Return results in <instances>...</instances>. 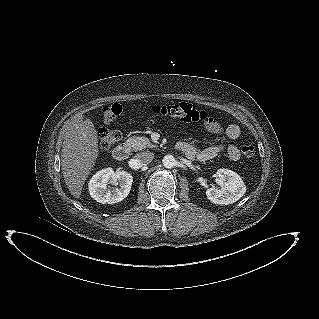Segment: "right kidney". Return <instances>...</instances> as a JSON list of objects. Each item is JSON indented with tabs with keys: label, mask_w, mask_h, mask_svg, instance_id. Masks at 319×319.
Returning a JSON list of instances; mask_svg holds the SVG:
<instances>
[{
	"label": "right kidney",
	"mask_w": 319,
	"mask_h": 319,
	"mask_svg": "<svg viewBox=\"0 0 319 319\" xmlns=\"http://www.w3.org/2000/svg\"><path fill=\"white\" fill-rule=\"evenodd\" d=\"M133 177L125 171L114 172L112 168L98 171L89 181V193L99 203L115 204L126 198L131 190ZM111 185L117 186L115 189Z\"/></svg>",
	"instance_id": "right-kidney-1"
}]
</instances>
